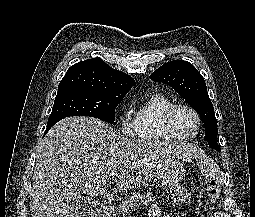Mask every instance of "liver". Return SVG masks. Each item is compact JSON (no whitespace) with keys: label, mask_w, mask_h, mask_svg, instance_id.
<instances>
[{"label":"liver","mask_w":255,"mask_h":217,"mask_svg":"<svg viewBox=\"0 0 255 217\" xmlns=\"http://www.w3.org/2000/svg\"><path fill=\"white\" fill-rule=\"evenodd\" d=\"M191 144L134 140L91 117H68L45 136L30 193L32 217H75L83 201L104 194L112 171L119 190L146 185L172 157H199Z\"/></svg>","instance_id":"6515ba94"}]
</instances>
